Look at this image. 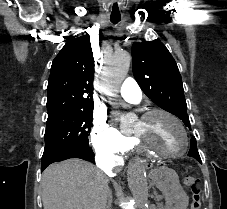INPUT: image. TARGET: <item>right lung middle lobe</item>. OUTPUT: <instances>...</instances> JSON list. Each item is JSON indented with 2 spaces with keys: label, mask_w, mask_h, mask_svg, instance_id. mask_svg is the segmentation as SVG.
<instances>
[{
  "label": "right lung middle lobe",
  "mask_w": 227,
  "mask_h": 209,
  "mask_svg": "<svg viewBox=\"0 0 227 209\" xmlns=\"http://www.w3.org/2000/svg\"><path fill=\"white\" fill-rule=\"evenodd\" d=\"M93 104L92 98H64L53 101L47 107L42 164L45 157L55 151L89 146Z\"/></svg>",
  "instance_id": "1"
}]
</instances>
